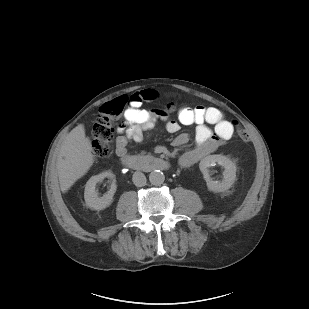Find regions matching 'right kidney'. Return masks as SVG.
I'll list each match as a JSON object with an SVG mask.
<instances>
[{"label": "right kidney", "instance_id": "ca27d5eb", "mask_svg": "<svg viewBox=\"0 0 309 309\" xmlns=\"http://www.w3.org/2000/svg\"><path fill=\"white\" fill-rule=\"evenodd\" d=\"M105 177L114 178V175L110 171H106L99 175L92 176L86 183L84 199L86 205L91 209L102 210L111 205L113 202V196L116 192L115 181L112 182L110 190L102 197H99L95 190L96 184L102 181Z\"/></svg>", "mask_w": 309, "mask_h": 309}]
</instances>
